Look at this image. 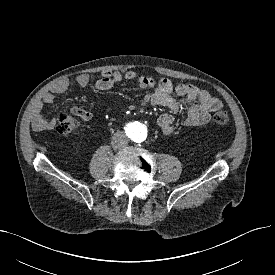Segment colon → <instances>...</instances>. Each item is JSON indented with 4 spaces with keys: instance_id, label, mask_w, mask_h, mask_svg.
<instances>
[{
    "instance_id": "colon-1",
    "label": "colon",
    "mask_w": 275,
    "mask_h": 275,
    "mask_svg": "<svg viewBox=\"0 0 275 275\" xmlns=\"http://www.w3.org/2000/svg\"><path fill=\"white\" fill-rule=\"evenodd\" d=\"M214 121L219 125H226L230 121L229 114L224 110L218 111L214 115ZM78 125V121L73 115L61 114L56 130L62 136H69L76 132Z\"/></svg>"
}]
</instances>
